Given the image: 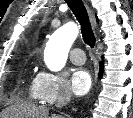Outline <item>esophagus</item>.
I'll use <instances>...</instances> for the list:
<instances>
[{
  "mask_svg": "<svg viewBox=\"0 0 133 118\" xmlns=\"http://www.w3.org/2000/svg\"><path fill=\"white\" fill-rule=\"evenodd\" d=\"M86 7H87V10H88L92 25H93V27H95L96 26V21H95L94 15H93L92 11L89 9V7L87 5H86Z\"/></svg>",
  "mask_w": 133,
  "mask_h": 118,
  "instance_id": "1",
  "label": "esophagus"
}]
</instances>
